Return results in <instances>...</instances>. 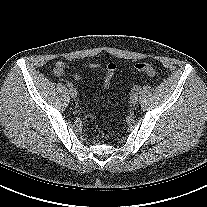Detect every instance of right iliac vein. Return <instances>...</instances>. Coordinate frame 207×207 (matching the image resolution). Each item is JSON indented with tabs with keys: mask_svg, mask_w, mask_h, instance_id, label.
Returning a JSON list of instances; mask_svg holds the SVG:
<instances>
[{
	"mask_svg": "<svg viewBox=\"0 0 207 207\" xmlns=\"http://www.w3.org/2000/svg\"><path fill=\"white\" fill-rule=\"evenodd\" d=\"M69 93H70V96L72 98H76L77 97V91H76V89L71 88L70 91H69Z\"/></svg>",
	"mask_w": 207,
	"mask_h": 207,
	"instance_id": "63e3f726",
	"label": "right iliac vein"
}]
</instances>
